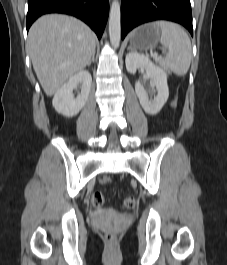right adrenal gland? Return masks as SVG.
I'll list each match as a JSON object with an SVG mask.
<instances>
[{
	"instance_id": "right-adrenal-gland-1",
	"label": "right adrenal gland",
	"mask_w": 227,
	"mask_h": 265,
	"mask_svg": "<svg viewBox=\"0 0 227 265\" xmlns=\"http://www.w3.org/2000/svg\"><path fill=\"white\" fill-rule=\"evenodd\" d=\"M94 58H95V53L92 55L90 62L87 64L88 67L91 65L92 62H94Z\"/></svg>"
}]
</instances>
